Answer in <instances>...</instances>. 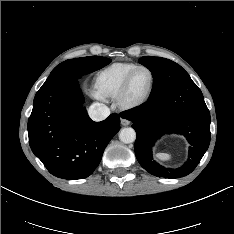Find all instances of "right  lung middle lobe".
Listing matches in <instances>:
<instances>
[{
	"label": "right lung middle lobe",
	"instance_id": "dd1d6c3e",
	"mask_svg": "<svg viewBox=\"0 0 234 234\" xmlns=\"http://www.w3.org/2000/svg\"><path fill=\"white\" fill-rule=\"evenodd\" d=\"M111 62V59L99 56H89L76 59L66 60L59 65H57L51 72V74L68 70L77 79L81 76L101 69Z\"/></svg>",
	"mask_w": 234,
	"mask_h": 234
}]
</instances>
